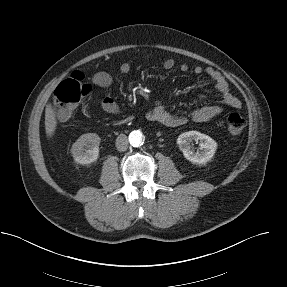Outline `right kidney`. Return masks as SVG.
I'll return each mask as SVG.
<instances>
[{
	"label": "right kidney",
	"mask_w": 287,
	"mask_h": 287,
	"mask_svg": "<svg viewBox=\"0 0 287 287\" xmlns=\"http://www.w3.org/2000/svg\"><path fill=\"white\" fill-rule=\"evenodd\" d=\"M100 137L96 133L81 135L72 145L71 154L75 162L88 165L95 162L99 157Z\"/></svg>",
	"instance_id": "ca27d5eb"
}]
</instances>
